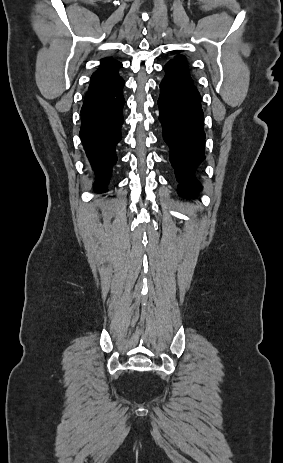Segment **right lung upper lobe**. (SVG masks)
Returning a JSON list of instances; mask_svg holds the SVG:
<instances>
[{
    "label": "right lung upper lobe",
    "instance_id": "1",
    "mask_svg": "<svg viewBox=\"0 0 283 463\" xmlns=\"http://www.w3.org/2000/svg\"><path fill=\"white\" fill-rule=\"evenodd\" d=\"M122 66L120 62L114 59H103L101 68L91 76L90 86L95 87L118 76V69Z\"/></svg>",
    "mask_w": 283,
    "mask_h": 463
}]
</instances>
